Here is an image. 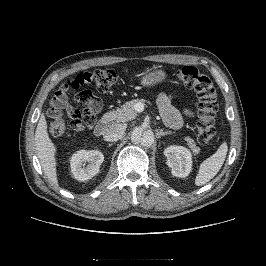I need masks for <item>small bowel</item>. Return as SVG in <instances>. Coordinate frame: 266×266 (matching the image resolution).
I'll use <instances>...</instances> for the list:
<instances>
[{"instance_id": "small-bowel-1", "label": "small bowel", "mask_w": 266, "mask_h": 266, "mask_svg": "<svg viewBox=\"0 0 266 266\" xmlns=\"http://www.w3.org/2000/svg\"><path fill=\"white\" fill-rule=\"evenodd\" d=\"M158 106L161 115L168 126L172 128H179L182 125L181 115L172 105V96L165 93L160 94L158 97ZM60 108H65L67 111H69L71 107L69 103H65ZM186 113L191 115L190 112Z\"/></svg>"}]
</instances>
